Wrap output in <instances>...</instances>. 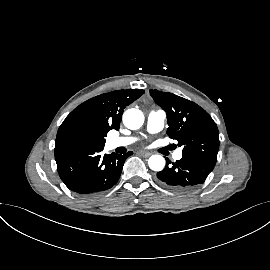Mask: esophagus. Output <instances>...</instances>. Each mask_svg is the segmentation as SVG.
<instances>
[{
    "mask_svg": "<svg viewBox=\"0 0 270 270\" xmlns=\"http://www.w3.org/2000/svg\"><path fill=\"white\" fill-rule=\"evenodd\" d=\"M139 154H140L141 156H143V157H149V156L151 155V153L145 152V151H141V152H139Z\"/></svg>",
    "mask_w": 270,
    "mask_h": 270,
    "instance_id": "obj_1",
    "label": "esophagus"
}]
</instances>
